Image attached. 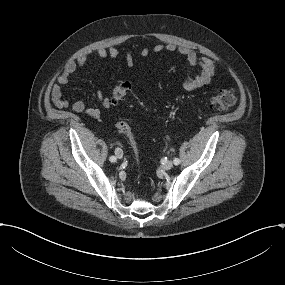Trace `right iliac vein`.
<instances>
[{
	"label": "right iliac vein",
	"mask_w": 285,
	"mask_h": 285,
	"mask_svg": "<svg viewBox=\"0 0 285 285\" xmlns=\"http://www.w3.org/2000/svg\"><path fill=\"white\" fill-rule=\"evenodd\" d=\"M115 153L118 159H121L123 157V151L121 149L117 148Z\"/></svg>",
	"instance_id": "obj_1"
}]
</instances>
